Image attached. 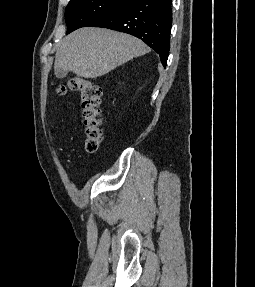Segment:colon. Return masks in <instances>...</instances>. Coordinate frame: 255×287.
Segmentation results:
<instances>
[{"label":"colon","instance_id":"colon-1","mask_svg":"<svg viewBox=\"0 0 255 287\" xmlns=\"http://www.w3.org/2000/svg\"><path fill=\"white\" fill-rule=\"evenodd\" d=\"M68 91L77 92L80 96L82 123L85 132V148L95 154L102 142L103 117L101 111L102 89L95 82L73 76L57 87L59 96Z\"/></svg>","mask_w":255,"mask_h":287}]
</instances>
